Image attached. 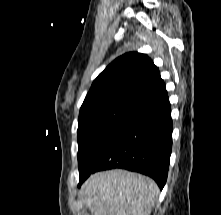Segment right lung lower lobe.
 <instances>
[{
	"instance_id": "1",
	"label": "right lung lower lobe",
	"mask_w": 221,
	"mask_h": 215,
	"mask_svg": "<svg viewBox=\"0 0 221 215\" xmlns=\"http://www.w3.org/2000/svg\"><path fill=\"white\" fill-rule=\"evenodd\" d=\"M171 149V105L165 91L135 107L119 123L80 173L78 186L96 171L122 168L153 178L162 189L167 179Z\"/></svg>"
}]
</instances>
